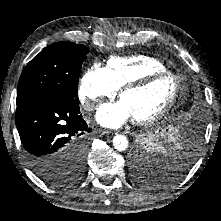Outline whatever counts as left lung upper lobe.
Instances as JSON below:
<instances>
[{"label":"left lung upper lobe","mask_w":221,"mask_h":221,"mask_svg":"<svg viewBox=\"0 0 221 221\" xmlns=\"http://www.w3.org/2000/svg\"><path fill=\"white\" fill-rule=\"evenodd\" d=\"M135 155V161L133 162V173L135 178L148 186L158 185L160 181H157L158 176H156L154 171L152 170V165L154 166L159 158L155 153H151L150 151H147L146 149H140L138 152L134 153ZM160 162V161H159ZM162 178V177H161ZM162 180V179H160Z\"/></svg>","instance_id":"obj_1"}]
</instances>
